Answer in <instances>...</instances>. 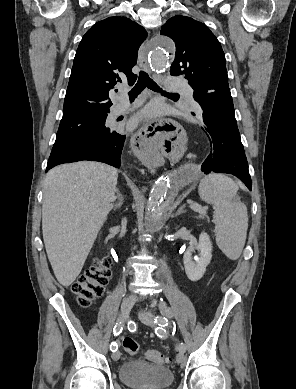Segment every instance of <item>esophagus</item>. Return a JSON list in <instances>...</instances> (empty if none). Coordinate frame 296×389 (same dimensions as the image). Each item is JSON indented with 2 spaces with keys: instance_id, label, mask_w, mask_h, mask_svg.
<instances>
[{
  "instance_id": "esophagus-1",
  "label": "esophagus",
  "mask_w": 296,
  "mask_h": 389,
  "mask_svg": "<svg viewBox=\"0 0 296 389\" xmlns=\"http://www.w3.org/2000/svg\"><path fill=\"white\" fill-rule=\"evenodd\" d=\"M138 63L148 73H151L150 66L145 53V44H142L138 52ZM184 122L182 118L174 121H158L151 118L144 122L132 136L131 144L140 163H145L149 169H161L164 166V159L161 150H156L157 139H173L177 131H182Z\"/></svg>"
}]
</instances>
